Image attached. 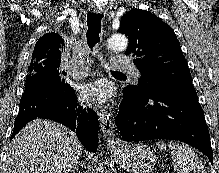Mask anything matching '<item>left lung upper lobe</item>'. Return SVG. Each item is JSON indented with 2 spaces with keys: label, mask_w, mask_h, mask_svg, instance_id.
<instances>
[{
  "label": "left lung upper lobe",
  "mask_w": 219,
  "mask_h": 173,
  "mask_svg": "<svg viewBox=\"0 0 219 173\" xmlns=\"http://www.w3.org/2000/svg\"><path fill=\"white\" fill-rule=\"evenodd\" d=\"M118 32L128 36L126 54L135 57L141 73L138 85L125 90L147 97L194 89L180 43L169 25L148 11L135 9L123 15Z\"/></svg>",
  "instance_id": "left-lung-upper-lobe-1"
}]
</instances>
